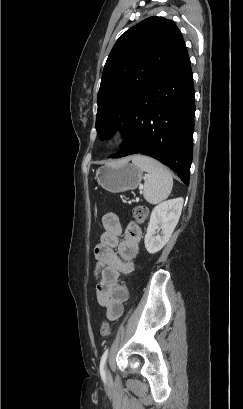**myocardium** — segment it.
<instances>
[{"instance_id": "obj_1", "label": "myocardium", "mask_w": 243, "mask_h": 409, "mask_svg": "<svg viewBox=\"0 0 243 409\" xmlns=\"http://www.w3.org/2000/svg\"><path fill=\"white\" fill-rule=\"evenodd\" d=\"M119 139V134L116 131H111L106 136V143L107 144H115Z\"/></svg>"}]
</instances>
